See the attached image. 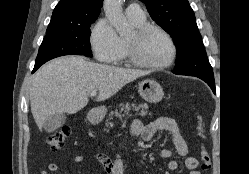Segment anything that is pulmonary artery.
Returning a JSON list of instances; mask_svg holds the SVG:
<instances>
[{
    "label": "pulmonary artery",
    "instance_id": "obj_1",
    "mask_svg": "<svg viewBox=\"0 0 249 174\" xmlns=\"http://www.w3.org/2000/svg\"><path fill=\"white\" fill-rule=\"evenodd\" d=\"M126 14L131 17H143L144 11L138 3H131L126 8Z\"/></svg>",
    "mask_w": 249,
    "mask_h": 174
}]
</instances>
